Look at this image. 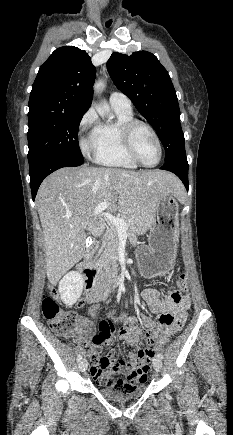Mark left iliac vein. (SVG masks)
Returning <instances> with one entry per match:
<instances>
[{
  "label": "left iliac vein",
  "mask_w": 233,
  "mask_h": 435,
  "mask_svg": "<svg viewBox=\"0 0 233 435\" xmlns=\"http://www.w3.org/2000/svg\"><path fill=\"white\" fill-rule=\"evenodd\" d=\"M153 367L157 372H159L162 369V361L160 358L155 357L153 359Z\"/></svg>",
  "instance_id": "1"
}]
</instances>
